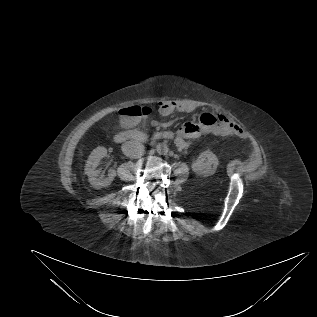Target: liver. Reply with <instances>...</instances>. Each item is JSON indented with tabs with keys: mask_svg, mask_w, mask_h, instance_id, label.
<instances>
[{
	"mask_svg": "<svg viewBox=\"0 0 317 317\" xmlns=\"http://www.w3.org/2000/svg\"><path fill=\"white\" fill-rule=\"evenodd\" d=\"M105 112H106V111H103V112L101 113V115L105 114Z\"/></svg>",
	"mask_w": 317,
	"mask_h": 317,
	"instance_id": "obj_1",
	"label": "liver"
}]
</instances>
